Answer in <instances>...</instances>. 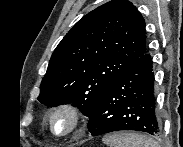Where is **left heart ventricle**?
Here are the masks:
<instances>
[{
	"mask_svg": "<svg viewBox=\"0 0 183 147\" xmlns=\"http://www.w3.org/2000/svg\"><path fill=\"white\" fill-rule=\"evenodd\" d=\"M73 125L72 118L66 113H59L53 119V127L57 133H65Z\"/></svg>",
	"mask_w": 183,
	"mask_h": 147,
	"instance_id": "left-heart-ventricle-1",
	"label": "left heart ventricle"
}]
</instances>
